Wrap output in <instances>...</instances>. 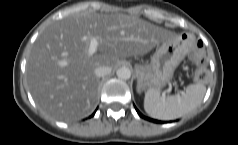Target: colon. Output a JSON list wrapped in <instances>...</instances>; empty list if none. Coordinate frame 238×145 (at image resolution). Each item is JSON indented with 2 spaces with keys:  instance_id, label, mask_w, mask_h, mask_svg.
<instances>
[{
  "instance_id": "colon-1",
  "label": "colon",
  "mask_w": 238,
  "mask_h": 145,
  "mask_svg": "<svg viewBox=\"0 0 238 145\" xmlns=\"http://www.w3.org/2000/svg\"><path fill=\"white\" fill-rule=\"evenodd\" d=\"M192 61L197 66L195 72V79L198 82H203L208 77V71L205 68L206 62V52L204 49V45L201 41H197L195 49L192 52Z\"/></svg>"
}]
</instances>
